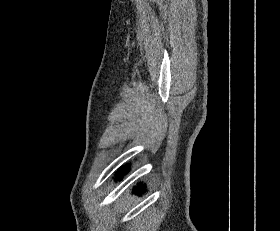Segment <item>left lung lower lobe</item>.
<instances>
[{
	"instance_id": "obj_1",
	"label": "left lung lower lobe",
	"mask_w": 280,
	"mask_h": 231,
	"mask_svg": "<svg viewBox=\"0 0 280 231\" xmlns=\"http://www.w3.org/2000/svg\"><path fill=\"white\" fill-rule=\"evenodd\" d=\"M125 171H126V168H121L120 172H118L117 174H121ZM134 191L137 193H141L142 191H144V188L141 186H138L136 189H134Z\"/></svg>"
}]
</instances>
